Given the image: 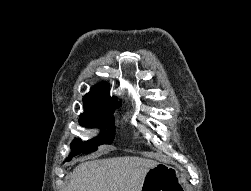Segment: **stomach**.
<instances>
[{
  "label": "stomach",
  "instance_id": "obj_1",
  "mask_svg": "<svg viewBox=\"0 0 251 191\" xmlns=\"http://www.w3.org/2000/svg\"><path fill=\"white\" fill-rule=\"evenodd\" d=\"M180 173L166 163H156L144 175L141 191H182Z\"/></svg>",
  "mask_w": 251,
  "mask_h": 191
}]
</instances>
